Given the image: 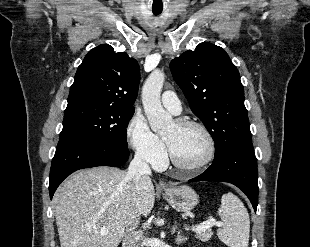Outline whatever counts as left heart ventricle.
I'll return each instance as SVG.
<instances>
[{"instance_id": "obj_1", "label": "left heart ventricle", "mask_w": 310, "mask_h": 247, "mask_svg": "<svg viewBox=\"0 0 310 247\" xmlns=\"http://www.w3.org/2000/svg\"><path fill=\"white\" fill-rule=\"evenodd\" d=\"M174 157L185 165H195L205 159L208 142L198 128H180L175 123L164 133Z\"/></svg>"}]
</instances>
